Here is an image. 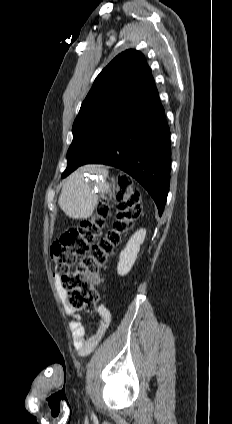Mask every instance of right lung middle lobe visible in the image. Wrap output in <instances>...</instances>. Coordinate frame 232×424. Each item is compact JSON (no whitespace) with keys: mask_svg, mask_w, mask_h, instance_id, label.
Wrapping results in <instances>:
<instances>
[{"mask_svg":"<svg viewBox=\"0 0 232 424\" xmlns=\"http://www.w3.org/2000/svg\"><path fill=\"white\" fill-rule=\"evenodd\" d=\"M132 106L105 104L79 112L73 124V141L62 178L82 165L89 154L116 128L127 123Z\"/></svg>","mask_w":232,"mask_h":424,"instance_id":"obj_1","label":"right lung middle lobe"}]
</instances>
